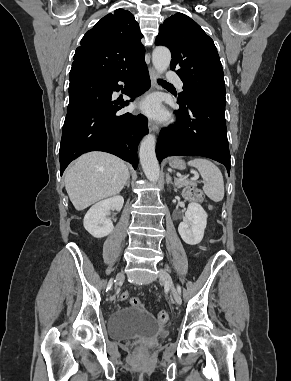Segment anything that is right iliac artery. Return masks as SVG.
<instances>
[{"label": "right iliac artery", "mask_w": 291, "mask_h": 381, "mask_svg": "<svg viewBox=\"0 0 291 381\" xmlns=\"http://www.w3.org/2000/svg\"><path fill=\"white\" fill-rule=\"evenodd\" d=\"M113 282H115V280L110 279V281H109V283H108V286H107V290L111 288Z\"/></svg>", "instance_id": "obj_1"}]
</instances>
